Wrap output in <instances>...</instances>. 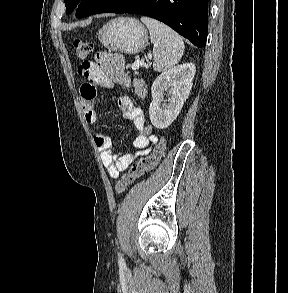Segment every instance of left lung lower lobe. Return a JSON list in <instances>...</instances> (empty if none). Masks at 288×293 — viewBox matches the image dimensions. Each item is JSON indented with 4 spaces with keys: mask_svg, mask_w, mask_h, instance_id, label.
<instances>
[{
    "mask_svg": "<svg viewBox=\"0 0 288 293\" xmlns=\"http://www.w3.org/2000/svg\"><path fill=\"white\" fill-rule=\"evenodd\" d=\"M209 0H119L101 13H132L157 19L201 48L206 45Z\"/></svg>",
    "mask_w": 288,
    "mask_h": 293,
    "instance_id": "left-lung-lower-lobe-1",
    "label": "left lung lower lobe"
}]
</instances>
